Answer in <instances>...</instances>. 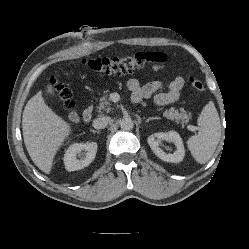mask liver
<instances>
[{
    "label": "liver",
    "mask_w": 249,
    "mask_h": 249,
    "mask_svg": "<svg viewBox=\"0 0 249 249\" xmlns=\"http://www.w3.org/2000/svg\"><path fill=\"white\" fill-rule=\"evenodd\" d=\"M22 131L32 161L41 171L49 174L59 147L71 133L70 124L54 113L38 92L24 108Z\"/></svg>",
    "instance_id": "obj_1"
}]
</instances>
